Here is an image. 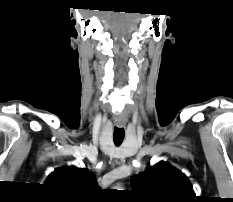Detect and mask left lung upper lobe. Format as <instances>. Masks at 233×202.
<instances>
[{"instance_id":"obj_1","label":"left lung upper lobe","mask_w":233,"mask_h":202,"mask_svg":"<svg viewBox=\"0 0 233 202\" xmlns=\"http://www.w3.org/2000/svg\"><path fill=\"white\" fill-rule=\"evenodd\" d=\"M131 185L145 202H193L196 198L189 179L164 161L134 175Z\"/></svg>"}]
</instances>
